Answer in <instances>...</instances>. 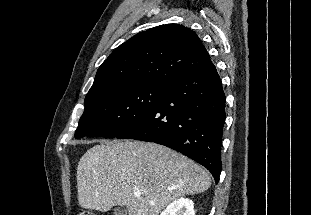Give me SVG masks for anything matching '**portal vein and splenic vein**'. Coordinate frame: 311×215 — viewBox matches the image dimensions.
I'll list each match as a JSON object with an SVG mask.
<instances>
[{"mask_svg": "<svg viewBox=\"0 0 311 215\" xmlns=\"http://www.w3.org/2000/svg\"><path fill=\"white\" fill-rule=\"evenodd\" d=\"M140 194H141V193H140L139 191L134 192V195H135L136 197H139Z\"/></svg>", "mask_w": 311, "mask_h": 215, "instance_id": "18ae733b", "label": "portal vein and splenic vein"}]
</instances>
